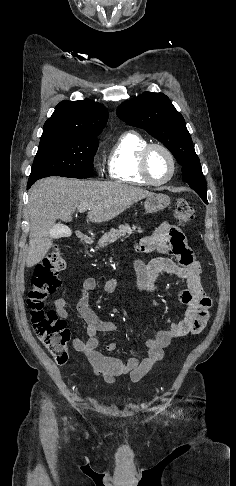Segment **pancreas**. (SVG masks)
Here are the masks:
<instances>
[{
	"instance_id": "cf45deb5",
	"label": "pancreas",
	"mask_w": 236,
	"mask_h": 486,
	"mask_svg": "<svg viewBox=\"0 0 236 486\" xmlns=\"http://www.w3.org/2000/svg\"><path fill=\"white\" fill-rule=\"evenodd\" d=\"M136 227H130L128 224L120 225L118 229H111L108 233L104 234L98 241L97 249L104 248L119 238L124 236H129L135 231ZM138 233H142L143 231L139 228L137 230Z\"/></svg>"
}]
</instances>
